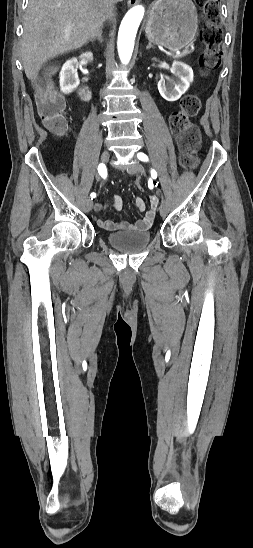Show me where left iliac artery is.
<instances>
[{"mask_svg":"<svg viewBox=\"0 0 253 548\" xmlns=\"http://www.w3.org/2000/svg\"><path fill=\"white\" fill-rule=\"evenodd\" d=\"M137 157L141 161H144V162L148 161V156L144 153H138ZM151 176L155 179L157 177V172L155 170H151Z\"/></svg>","mask_w":253,"mask_h":548,"instance_id":"1","label":"left iliac artery"}]
</instances>
